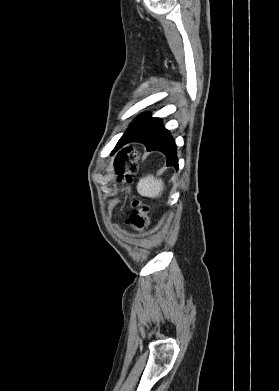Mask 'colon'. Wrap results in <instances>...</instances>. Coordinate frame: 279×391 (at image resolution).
Wrapping results in <instances>:
<instances>
[{
  "label": "colon",
  "mask_w": 279,
  "mask_h": 391,
  "mask_svg": "<svg viewBox=\"0 0 279 391\" xmlns=\"http://www.w3.org/2000/svg\"><path fill=\"white\" fill-rule=\"evenodd\" d=\"M137 158V153L131 148H126L117 155L114 166L117 172V181L119 183H126L129 181L131 174L137 169ZM132 207L133 211L126 223L135 231L143 232L147 229L149 224V207L139 200H134L132 202Z\"/></svg>",
  "instance_id": "1"
}]
</instances>
